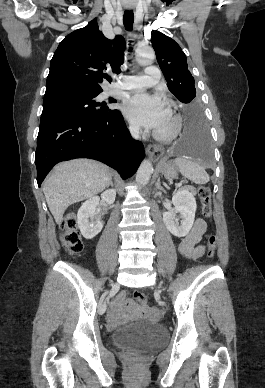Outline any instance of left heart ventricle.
<instances>
[{"instance_id":"b2bd125f","label":"left heart ventricle","mask_w":265,"mask_h":388,"mask_svg":"<svg viewBox=\"0 0 265 388\" xmlns=\"http://www.w3.org/2000/svg\"><path fill=\"white\" fill-rule=\"evenodd\" d=\"M142 89L145 90V91H153L156 88H155V85L154 86H149L148 85V86H143ZM168 124H169V116L166 118V120L162 124H160L158 126V129H161V130L166 129L168 127Z\"/></svg>"}]
</instances>
